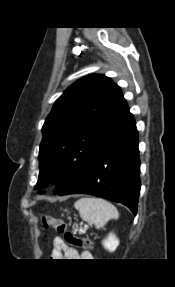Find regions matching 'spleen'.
<instances>
[{
	"label": "spleen",
	"instance_id": "1",
	"mask_svg": "<svg viewBox=\"0 0 175 287\" xmlns=\"http://www.w3.org/2000/svg\"><path fill=\"white\" fill-rule=\"evenodd\" d=\"M74 207L79 211L82 220L95 224L97 229L110 219L118 218L116 207L102 198L83 197L75 202Z\"/></svg>",
	"mask_w": 175,
	"mask_h": 287
}]
</instances>
